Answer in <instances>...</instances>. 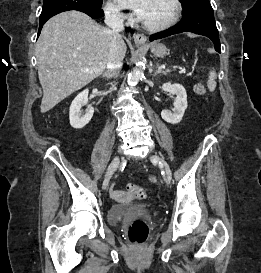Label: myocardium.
I'll use <instances>...</instances> for the list:
<instances>
[{"instance_id": "1", "label": "myocardium", "mask_w": 261, "mask_h": 273, "mask_svg": "<svg viewBox=\"0 0 261 273\" xmlns=\"http://www.w3.org/2000/svg\"><path fill=\"white\" fill-rule=\"evenodd\" d=\"M170 2L173 5V13L171 17L164 23L158 24V25H149L146 23H142V26L151 32H159L163 31L165 29H168L169 27L173 26L179 19L181 12H182V4L180 0H170Z\"/></svg>"}]
</instances>
